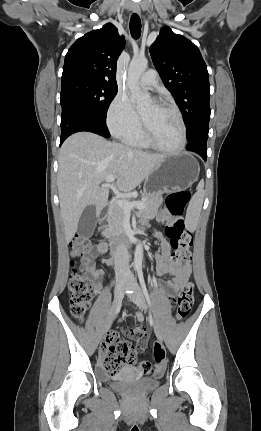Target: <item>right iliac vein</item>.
<instances>
[{
    "instance_id": "obj_1",
    "label": "right iliac vein",
    "mask_w": 261,
    "mask_h": 431,
    "mask_svg": "<svg viewBox=\"0 0 261 431\" xmlns=\"http://www.w3.org/2000/svg\"><path fill=\"white\" fill-rule=\"evenodd\" d=\"M123 284H124V277H120L116 282L114 301L112 304V308H111L109 317H108L107 322H106L105 332H107L110 329L112 322H113V320H114V318L118 312L119 306H120L122 298H123V293H122Z\"/></svg>"
}]
</instances>
